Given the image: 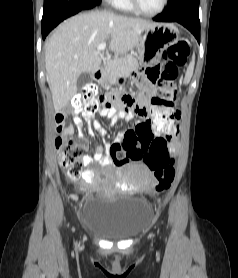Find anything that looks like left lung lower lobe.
<instances>
[{
	"mask_svg": "<svg viewBox=\"0 0 238 278\" xmlns=\"http://www.w3.org/2000/svg\"><path fill=\"white\" fill-rule=\"evenodd\" d=\"M200 0H168L164 13L153 18L157 22H178L192 32L200 43Z\"/></svg>",
	"mask_w": 238,
	"mask_h": 278,
	"instance_id": "obj_1",
	"label": "left lung lower lobe"
}]
</instances>
